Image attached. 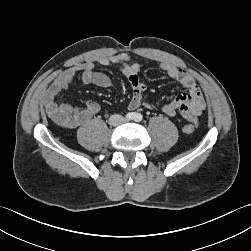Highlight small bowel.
Wrapping results in <instances>:
<instances>
[{
	"label": "small bowel",
	"mask_w": 251,
	"mask_h": 251,
	"mask_svg": "<svg viewBox=\"0 0 251 251\" xmlns=\"http://www.w3.org/2000/svg\"><path fill=\"white\" fill-rule=\"evenodd\" d=\"M97 64L101 66H116L120 72L129 80L132 95L128 108L135 110L142 104L143 93L146 84L140 79L141 65L132 61L126 53H118L107 57H100ZM169 78L178 82L186 92L178 94L171 102L164 104L161 108L163 114L169 117L181 116L182 118L197 124L198 118L206 107L205 99L201 88L193 77L177 66L162 62L159 64ZM87 84H93L100 88H108L112 82L108 75L95 71V62H84L75 67L65 70L59 74L48 86L42 97V103L49 116L57 123V116L66 118L68 126L75 128L83 125L92 119L100 110V106L95 101H87L84 106L74 107L64 103H58L56 96L68 89L77 75ZM144 106L152 108L151 102H145Z\"/></svg>",
	"instance_id": "c3829d8e"
}]
</instances>
